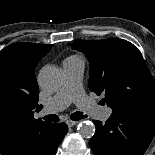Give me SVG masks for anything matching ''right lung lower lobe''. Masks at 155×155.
<instances>
[{
    "label": "right lung lower lobe",
    "mask_w": 155,
    "mask_h": 155,
    "mask_svg": "<svg viewBox=\"0 0 155 155\" xmlns=\"http://www.w3.org/2000/svg\"><path fill=\"white\" fill-rule=\"evenodd\" d=\"M68 131L65 123L53 124L41 146L39 155H54Z\"/></svg>",
    "instance_id": "98d812e1"
}]
</instances>
